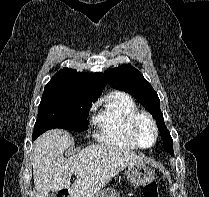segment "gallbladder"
Segmentation results:
<instances>
[{"instance_id":"bac80fb5","label":"gallbladder","mask_w":209,"mask_h":197,"mask_svg":"<svg viewBox=\"0 0 209 197\" xmlns=\"http://www.w3.org/2000/svg\"><path fill=\"white\" fill-rule=\"evenodd\" d=\"M47 197H56L54 192H50Z\"/></svg>"}]
</instances>
